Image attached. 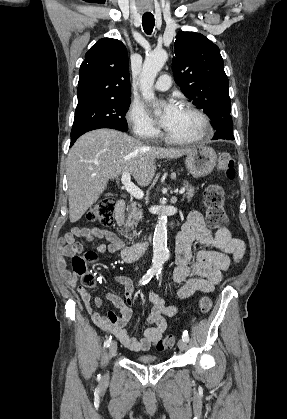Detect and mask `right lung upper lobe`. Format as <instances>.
<instances>
[{
    "mask_svg": "<svg viewBox=\"0 0 287 419\" xmlns=\"http://www.w3.org/2000/svg\"><path fill=\"white\" fill-rule=\"evenodd\" d=\"M76 109L131 96L128 54L125 45L112 38L99 40L80 67Z\"/></svg>",
    "mask_w": 287,
    "mask_h": 419,
    "instance_id": "1",
    "label": "right lung upper lobe"
}]
</instances>
